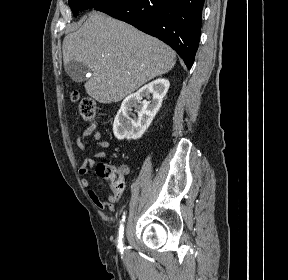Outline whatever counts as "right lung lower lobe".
<instances>
[{"label": "right lung lower lobe", "instance_id": "right-lung-lower-lobe-1", "mask_svg": "<svg viewBox=\"0 0 288 280\" xmlns=\"http://www.w3.org/2000/svg\"><path fill=\"white\" fill-rule=\"evenodd\" d=\"M204 0H113L95 7L171 46L190 69L199 45Z\"/></svg>", "mask_w": 288, "mask_h": 280}]
</instances>
